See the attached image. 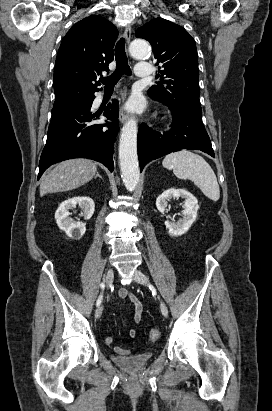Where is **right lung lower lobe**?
Listing matches in <instances>:
<instances>
[{
  "label": "right lung lower lobe",
  "mask_w": 272,
  "mask_h": 411,
  "mask_svg": "<svg viewBox=\"0 0 272 411\" xmlns=\"http://www.w3.org/2000/svg\"><path fill=\"white\" fill-rule=\"evenodd\" d=\"M95 96L66 110L52 113L46 145L39 162L38 179L52 164L72 159L88 158L114 170V142L119 130L118 102L113 100L106 108L94 112ZM111 122H100L99 116Z\"/></svg>",
  "instance_id": "obj_1"
}]
</instances>
